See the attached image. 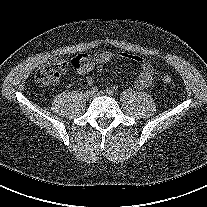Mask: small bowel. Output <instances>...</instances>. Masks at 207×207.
<instances>
[{
  "label": "small bowel",
  "instance_id": "c3829d8e",
  "mask_svg": "<svg viewBox=\"0 0 207 207\" xmlns=\"http://www.w3.org/2000/svg\"><path fill=\"white\" fill-rule=\"evenodd\" d=\"M116 56L131 60L138 65L140 72L137 79L134 81L135 88L146 89L151 86L154 73L152 65L135 55L126 53L115 54L113 52H101L94 56H90L88 54H80L71 61V65L78 74L86 75L92 71L96 65L106 64ZM87 83L93 84V78L87 77Z\"/></svg>",
  "mask_w": 207,
  "mask_h": 207
}]
</instances>
